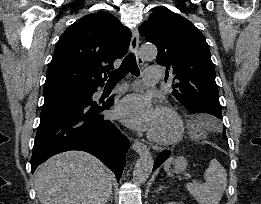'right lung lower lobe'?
Here are the masks:
<instances>
[{"mask_svg": "<svg viewBox=\"0 0 261 204\" xmlns=\"http://www.w3.org/2000/svg\"><path fill=\"white\" fill-rule=\"evenodd\" d=\"M96 91L97 88L84 91L83 95L44 102L31 158L32 173L55 154L82 150L100 159L119 180L130 143L101 114L110 108L113 98L101 106L92 100Z\"/></svg>", "mask_w": 261, "mask_h": 204, "instance_id": "right-lung-lower-lobe-1", "label": "right lung lower lobe"}]
</instances>
